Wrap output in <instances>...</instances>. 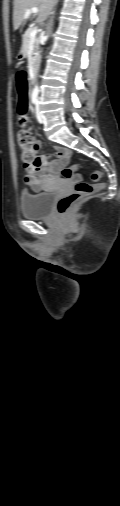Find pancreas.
I'll return each instance as SVG.
<instances>
[{
	"label": "pancreas",
	"mask_w": 120,
	"mask_h": 506,
	"mask_svg": "<svg viewBox=\"0 0 120 506\" xmlns=\"http://www.w3.org/2000/svg\"><path fill=\"white\" fill-rule=\"evenodd\" d=\"M32 31V28H29L25 34L23 35V49L24 51L28 50L29 42H30V32ZM35 49H38V39L35 41Z\"/></svg>",
	"instance_id": "pancreas-1"
}]
</instances>
